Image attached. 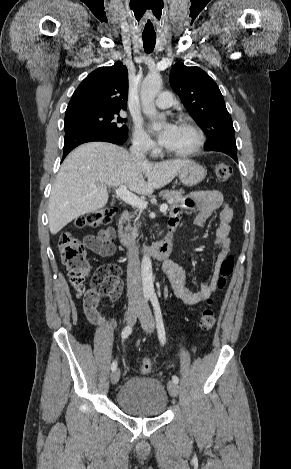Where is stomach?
I'll return each mask as SVG.
<instances>
[{"instance_id": "stomach-1", "label": "stomach", "mask_w": 291, "mask_h": 469, "mask_svg": "<svg viewBox=\"0 0 291 469\" xmlns=\"http://www.w3.org/2000/svg\"><path fill=\"white\" fill-rule=\"evenodd\" d=\"M207 170L200 164L191 161L178 173L180 182L185 186H194L206 176Z\"/></svg>"}]
</instances>
